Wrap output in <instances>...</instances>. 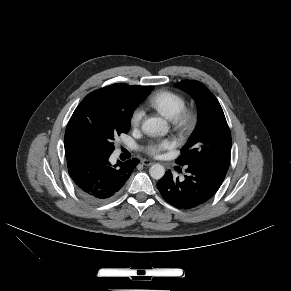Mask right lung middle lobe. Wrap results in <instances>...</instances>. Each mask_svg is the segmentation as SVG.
Returning a JSON list of instances; mask_svg holds the SVG:
<instances>
[{"instance_id": "dd1d6c3e", "label": "right lung middle lobe", "mask_w": 291, "mask_h": 291, "mask_svg": "<svg viewBox=\"0 0 291 291\" xmlns=\"http://www.w3.org/2000/svg\"><path fill=\"white\" fill-rule=\"evenodd\" d=\"M133 111L104 109L84 98L68 122L64 138L65 152H113L114 138L128 132Z\"/></svg>"}]
</instances>
